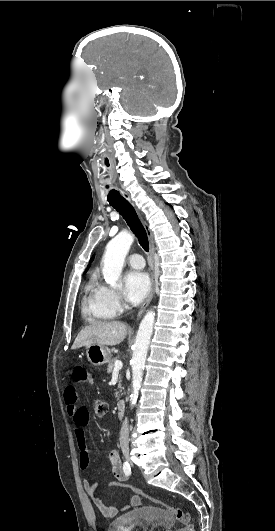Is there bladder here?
<instances>
[{"label": "bladder", "mask_w": 275, "mask_h": 531, "mask_svg": "<svg viewBox=\"0 0 275 531\" xmlns=\"http://www.w3.org/2000/svg\"><path fill=\"white\" fill-rule=\"evenodd\" d=\"M172 513L158 505L141 506L119 514L106 531H171Z\"/></svg>", "instance_id": "1"}]
</instances>
